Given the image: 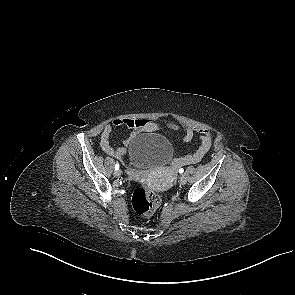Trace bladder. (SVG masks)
<instances>
[{
  "instance_id": "bladder-1",
  "label": "bladder",
  "mask_w": 295,
  "mask_h": 295,
  "mask_svg": "<svg viewBox=\"0 0 295 295\" xmlns=\"http://www.w3.org/2000/svg\"><path fill=\"white\" fill-rule=\"evenodd\" d=\"M172 158L173 147L169 140L154 132L135 137L128 148L129 164L136 169L162 167Z\"/></svg>"
}]
</instances>
